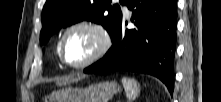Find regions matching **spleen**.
<instances>
[{"instance_id":"spleen-1","label":"spleen","mask_w":221,"mask_h":102,"mask_svg":"<svg viewBox=\"0 0 221 102\" xmlns=\"http://www.w3.org/2000/svg\"><path fill=\"white\" fill-rule=\"evenodd\" d=\"M122 84L129 100H135L140 93L139 83L132 78L123 77Z\"/></svg>"}]
</instances>
